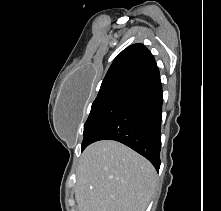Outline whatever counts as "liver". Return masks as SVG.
Masks as SVG:
<instances>
[{"label":"liver","instance_id":"liver-1","mask_svg":"<svg viewBox=\"0 0 221 211\" xmlns=\"http://www.w3.org/2000/svg\"><path fill=\"white\" fill-rule=\"evenodd\" d=\"M156 179L152 164L129 147L112 140L95 142L77 168L79 211H145Z\"/></svg>","mask_w":221,"mask_h":211}]
</instances>
